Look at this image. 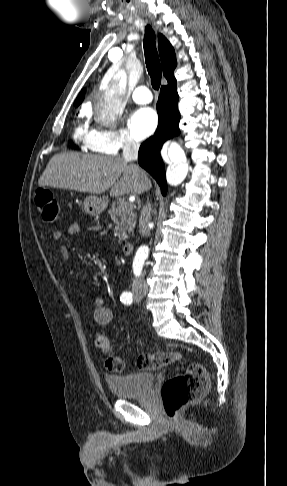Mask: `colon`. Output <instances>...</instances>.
<instances>
[{
	"mask_svg": "<svg viewBox=\"0 0 287 486\" xmlns=\"http://www.w3.org/2000/svg\"><path fill=\"white\" fill-rule=\"evenodd\" d=\"M37 209L46 222H54L59 216V204L54 194L47 188H38L35 192ZM95 347L103 353L110 350V342L105 334L95 336ZM184 355L178 351H158L140 355L136 365L141 370H156L178 362ZM109 371H121L124 362L121 357L108 355L104 361ZM209 388V378L205 369L199 364H191L179 375L167 379L161 389L162 401L166 415L175 420L179 411L201 397Z\"/></svg>",
	"mask_w": 287,
	"mask_h": 486,
	"instance_id": "obj_1",
	"label": "colon"
}]
</instances>
